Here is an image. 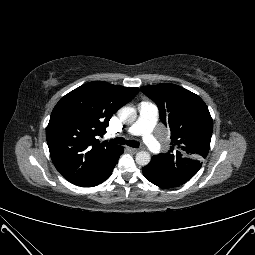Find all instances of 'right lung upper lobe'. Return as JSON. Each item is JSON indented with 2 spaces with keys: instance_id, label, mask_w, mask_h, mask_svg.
<instances>
[{
  "instance_id": "obj_1",
  "label": "right lung upper lobe",
  "mask_w": 255,
  "mask_h": 255,
  "mask_svg": "<svg viewBox=\"0 0 255 255\" xmlns=\"http://www.w3.org/2000/svg\"><path fill=\"white\" fill-rule=\"evenodd\" d=\"M139 89L102 81L86 83L60 99L54 107L46 138L56 169L69 182L85 181L106 168L120 146L102 135L111 116L132 100Z\"/></svg>"
}]
</instances>
